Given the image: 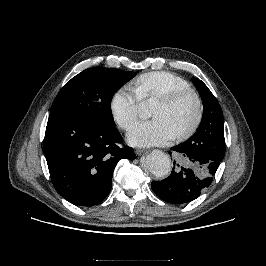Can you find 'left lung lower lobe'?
Returning a JSON list of instances; mask_svg holds the SVG:
<instances>
[{
  "mask_svg": "<svg viewBox=\"0 0 266 266\" xmlns=\"http://www.w3.org/2000/svg\"><path fill=\"white\" fill-rule=\"evenodd\" d=\"M173 150L184 156L185 163L175 166L174 161L170 176L162 181H153L151 187L157 196L168 203H188L211 184L220 162L188 151L182 144L173 147Z\"/></svg>",
  "mask_w": 266,
  "mask_h": 266,
  "instance_id": "0a47b994",
  "label": "left lung lower lobe"
}]
</instances>
